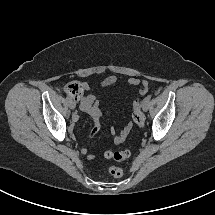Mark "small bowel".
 Segmentation results:
<instances>
[{
    "label": "small bowel",
    "instance_id": "small-bowel-1",
    "mask_svg": "<svg viewBox=\"0 0 215 215\" xmlns=\"http://www.w3.org/2000/svg\"><path fill=\"white\" fill-rule=\"evenodd\" d=\"M116 81H117L116 77L108 76L102 80L101 86L110 87V86L114 85L116 83ZM127 83L130 86H138L139 84H142L144 89H146V90L149 89V82L147 80H140L136 77H131L128 79ZM82 85H83V91L91 90V87L88 83L84 82V83H82ZM76 100L78 101L79 110L89 114L94 121L93 128L91 129L90 133L88 134L89 138H93L99 130L100 120L102 117L100 102L93 94L81 95ZM78 119H79V115L74 114L73 118H72L73 123L77 122ZM131 128H132V125L130 123L126 124L124 126V128L120 131V133L115 135L114 142L116 144L123 142L125 140V138L127 137V135L129 134ZM71 130L72 131L74 130L73 126L71 127ZM82 151H83V153H86L85 149H83ZM88 158L93 159L94 156L88 155Z\"/></svg>",
    "mask_w": 215,
    "mask_h": 215
}]
</instances>
